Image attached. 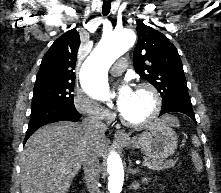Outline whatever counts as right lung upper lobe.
Here are the masks:
<instances>
[{
  "label": "right lung upper lobe",
  "mask_w": 221,
  "mask_h": 193,
  "mask_svg": "<svg viewBox=\"0 0 221 193\" xmlns=\"http://www.w3.org/2000/svg\"><path fill=\"white\" fill-rule=\"evenodd\" d=\"M80 37L74 28L59 37L44 55L35 84L75 82Z\"/></svg>",
  "instance_id": "right-lung-upper-lobe-1"
}]
</instances>
